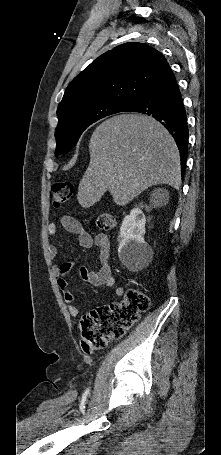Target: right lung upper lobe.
I'll use <instances>...</instances> for the list:
<instances>
[{"label":"right lung upper lobe","instance_id":"obj_1","mask_svg":"<svg viewBox=\"0 0 221 455\" xmlns=\"http://www.w3.org/2000/svg\"><path fill=\"white\" fill-rule=\"evenodd\" d=\"M166 64L164 56L146 44L129 42L115 47L73 79L58 106L57 116L104 101L130 105Z\"/></svg>","mask_w":221,"mask_h":455}]
</instances>
